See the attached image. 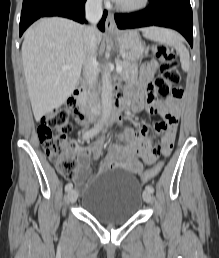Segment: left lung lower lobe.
Listing matches in <instances>:
<instances>
[{
	"label": "left lung lower lobe",
	"instance_id": "obj_1",
	"mask_svg": "<svg viewBox=\"0 0 219 258\" xmlns=\"http://www.w3.org/2000/svg\"><path fill=\"white\" fill-rule=\"evenodd\" d=\"M119 29L162 26L179 31L193 46L192 8L189 0H150L148 8L130 14H115Z\"/></svg>",
	"mask_w": 219,
	"mask_h": 258
}]
</instances>
